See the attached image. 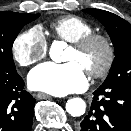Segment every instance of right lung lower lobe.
I'll list each match as a JSON object with an SVG mask.
<instances>
[{"label":"right lung lower lobe","instance_id":"obj_1","mask_svg":"<svg viewBox=\"0 0 131 131\" xmlns=\"http://www.w3.org/2000/svg\"><path fill=\"white\" fill-rule=\"evenodd\" d=\"M35 102L16 71H0V131H30Z\"/></svg>","mask_w":131,"mask_h":131}]
</instances>
